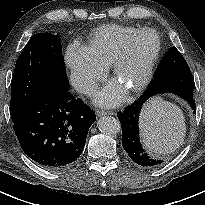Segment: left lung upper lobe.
<instances>
[{"label": "left lung upper lobe", "mask_w": 205, "mask_h": 205, "mask_svg": "<svg viewBox=\"0 0 205 205\" xmlns=\"http://www.w3.org/2000/svg\"><path fill=\"white\" fill-rule=\"evenodd\" d=\"M182 72L191 71L181 53L176 49V47H172L166 52L162 59L156 73L154 74V79Z\"/></svg>", "instance_id": "1"}]
</instances>
